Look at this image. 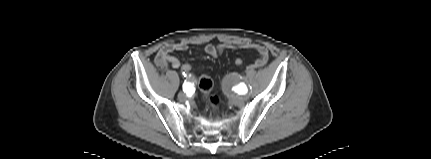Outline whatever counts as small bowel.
<instances>
[{"label": "small bowel", "instance_id": "small-bowel-1", "mask_svg": "<svg viewBox=\"0 0 431 159\" xmlns=\"http://www.w3.org/2000/svg\"><path fill=\"white\" fill-rule=\"evenodd\" d=\"M249 49V50H255L258 53V58L249 66L250 69H255L264 66L269 58L267 49L259 44L254 43H240L236 45H228V44H219V45H212L209 44L205 48V52L212 56L216 57L218 54L222 53L226 49ZM188 49V45L183 42H177V43H169L164 45L157 53L156 55V62L158 65L166 66L168 64L171 65L172 68L178 69L183 64L176 58L175 56H172L171 53L174 51H186ZM189 74V73H188ZM187 74V75H188Z\"/></svg>", "mask_w": 431, "mask_h": 159}]
</instances>
